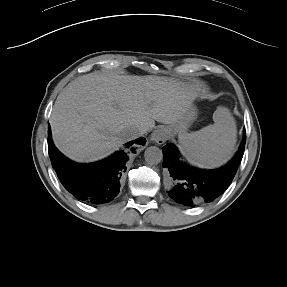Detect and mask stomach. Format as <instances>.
Wrapping results in <instances>:
<instances>
[{
  "label": "stomach",
  "mask_w": 287,
  "mask_h": 287,
  "mask_svg": "<svg viewBox=\"0 0 287 287\" xmlns=\"http://www.w3.org/2000/svg\"><path fill=\"white\" fill-rule=\"evenodd\" d=\"M196 115L197 109L194 105H191L181 120L164 127V130L167 132L169 137H173L176 134L180 135L186 133L190 124L196 118Z\"/></svg>",
  "instance_id": "1"
}]
</instances>
